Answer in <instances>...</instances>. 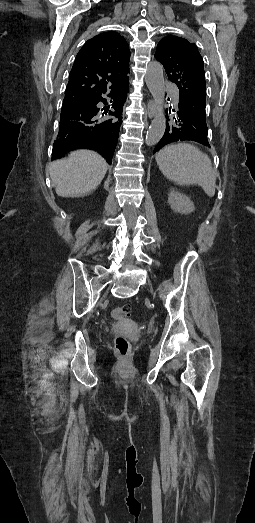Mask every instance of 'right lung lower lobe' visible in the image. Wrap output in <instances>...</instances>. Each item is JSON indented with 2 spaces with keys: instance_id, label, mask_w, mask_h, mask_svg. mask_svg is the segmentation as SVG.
<instances>
[{
  "instance_id": "98d812e1",
  "label": "right lung lower lobe",
  "mask_w": 255,
  "mask_h": 523,
  "mask_svg": "<svg viewBox=\"0 0 255 523\" xmlns=\"http://www.w3.org/2000/svg\"><path fill=\"white\" fill-rule=\"evenodd\" d=\"M79 118L83 120V141L85 143H92L98 138L94 132L99 130L97 122L100 120V105L97 102H92L90 105H81L79 107Z\"/></svg>"
}]
</instances>
